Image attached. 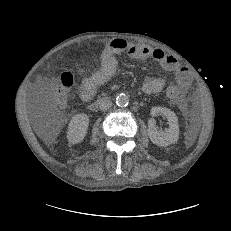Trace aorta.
Instances as JSON below:
<instances>
[{
	"label": "aorta",
	"instance_id": "aorta-1",
	"mask_svg": "<svg viewBox=\"0 0 231 231\" xmlns=\"http://www.w3.org/2000/svg\"><path fill=\"white\" fill-rule=\"evenodd\" d=\"M128 103H129V97L126 94H119L116 97V104L119 107H125L128 105Z\"/></svg>",
	"mask_w": 231,
	"mask_h": 231
}]
</instances>
